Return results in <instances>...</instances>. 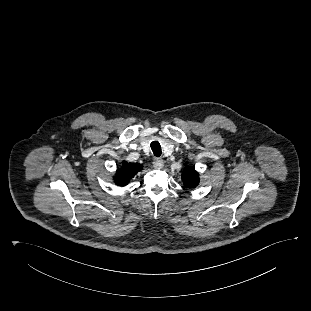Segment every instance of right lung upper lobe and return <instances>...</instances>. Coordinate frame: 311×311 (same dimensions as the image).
Listing matches in <instances>:
<instances>
[{
  "label": "right lung upper lobe",
  "mask_w": 311,
  "mask_h": 311,
  "mask_svg": "<svg viewBox=\"0 0 311 311\" xmlns=\"http://www.w3.org/2000/svg\"><path fill=\"white\" fill-rule=\"evenodd\" d=\"M143 166L137 163H128L123 161L120 168L116 172L114 182L118 186H126L133 176L141 171Z\"/></svg>",
  "instance_id": "obj_1"
}]
</instances>
